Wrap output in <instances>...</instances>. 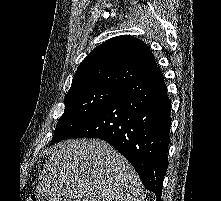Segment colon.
<instances>
[{
  "label": "colon",
  "mask_w": 221,
  "mask_h": 201,
  "mask_svg": "<svg viewBox=\"0 0 221 201\" xmlns=\"http://www.w3.org/2000/svg\"><path fill=\"white\" fill-rule=\"evenodd\" d=\"M24 201H39L35 197H27Z\"/></svg>",
  "instance_id": "5ec220e1"
}]
</instances>
